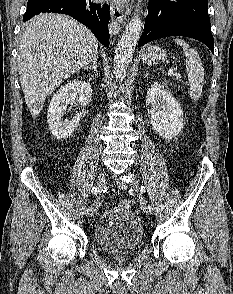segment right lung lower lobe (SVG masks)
<instances>
[{"mask_svg":"<svg viewBox=\"0 0 233 294\" xmlns=\"http://www.w3.org/2000/svg\"><path fill=\"white\" fill-rule=\"evenodd\" d=\"M42 12L67 14L86 25L105 46H109L108 23L110 11L107 4H94L91 0H29L23 16L26 22Z\"/></svg>","mask_w":233,"mask_h":294,"instance_id":"obj_1","label":"right lung lower lobe"}]
</instances>
